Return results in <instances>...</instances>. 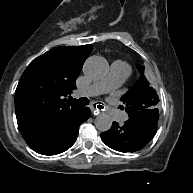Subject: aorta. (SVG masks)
Listing matches in <instances>:
<instances>
[{"label":"aorta","mask_w":193,"mask_h":193,"mask_svg":"<svg viewBox=\"0 0 193 193\" xmlns=\"http://www.w3.org/2000/svg\"><path fill=\"white\" fill-rule=\"evenodd\" d=\"M83 71L93 79H100L107 74L108 63L101 57H90L86 60ZM94 125L98 131L106 132L112 126V119L108 114L102 113L95 118Z\"/></svg>","instance_id":"762f6f07"}]
</instances>
